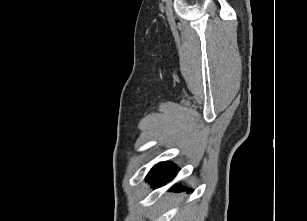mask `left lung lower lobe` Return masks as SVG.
Masks as SVG:
<instances>
[{"label": "left lung lower lobe", "instance_id": "obj_1", "mask_svg": "<svg viewBox=\"0 0 307 221\" xmlns=\"http://www.w3.org/2000/svg\"><path fill=\"white\" fill-rule=\"evenodd\" d=\"M178 168L173 163L160 162L155 165L146 177V181L152 185L153 188L161 187L177 174ZM172 191H184L180 185L175 186ZM186 191H192V189H186Z\"/></svg>", "mask_w": 307, "mask_h": 221}]
</instances>
